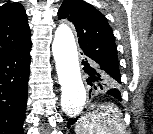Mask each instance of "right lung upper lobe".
<instances>
[{"label":"right lung upper lobe","mask_w":153,"mask_h":134,"mask_svg":"<svg viewBox=\"0 0 153 134\" xmlns=\"http://www.w3.org/2000/svg\"><path fill=\"white\" fill-rule=\"evenodd\" d=\"M31 44L25 9L19 2L0 7V57Z\"/></svg>","instance_id":"1"}]
</instances>
